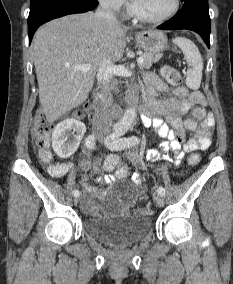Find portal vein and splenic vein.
<instances>
[{
	"mask_svg": "<svg viewBox=\"0 0 233 284\" xmlns=\"http://www.w3.org/2000/svg\"><path fill=\"white\" fill-rule=\"evenodd\" d=\"M144 61L143 57H139L137 59V63L140 64ZM91 69V65L90 64H82V65H77L74 67L75 71H82V72H87Z\"/></svg>",
	"mask_w": 233,
	"mask_h": 284,
	"instance_id": "portal-vein-and-splenic-vein-1",
	"label": "portal vein and splenic vein"
}]
</instances>
